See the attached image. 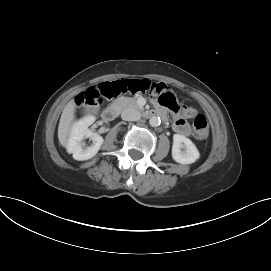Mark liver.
<instances>
[{"instance_id": "obj_1", "label": "liver", "mask_w": 271, "mask_h": 271, "mask_svg": "<svg viewBox=\"0 0 271 271\" xmlns=\"http://www.w3.org/2000/svg\"><path fill=\"white\" fill-rule=\"evenodd\" d=\"M75 101L71 100L64 108L58 127V138L62 146L66 147L68 137L75 120Z\"/></svg>"}]
</instances>
